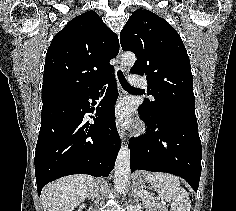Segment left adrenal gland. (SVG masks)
Listing matches in <instances>:
<instances>
[{
    "mask_svg": "<svg viewBox=\"0 0 236 211\" xmlns=\"http://www.w3.org/2000/svg\"><path fill=\"white\" fill-rule=\"evenodd\" d=\"M137 187H138L137 184H134L132 186L131 194L134 197L135 201L138 203L140 200V196L138 195V188Z\"/></svg>",
    "mask_w": 236,
    "mask_h": 211,
    "instance_id": "1",
    "label": "left adrenal gland"
}]
</instances>
